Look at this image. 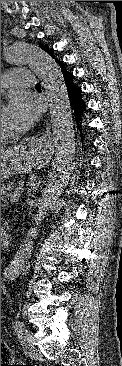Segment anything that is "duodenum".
<instances>
[{
    "instance_id": "1",
    "label": "duodenum",
    "mask_w": 122,
    "mask_h": 366,
    "mask_svg": "<svg viewBox=\"0 0 122 366\" xmlns=\"http://www.w3.org/2000/svg\"><path fill=\"white\" fill-rule=\"evenodd\" d=\"M10 243V235L7 233H1V244L8 245Z\"/></svg>"
}]
</instances>
